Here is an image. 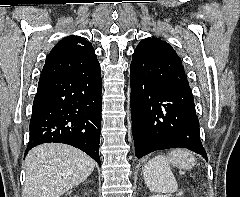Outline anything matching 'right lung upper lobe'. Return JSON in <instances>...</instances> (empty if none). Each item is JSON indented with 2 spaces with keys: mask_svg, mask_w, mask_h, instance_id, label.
<instances>
[{
  "mask_svg": "<svg viewBox=\"0 0 240 197\" xmlns=\"http://www.w3.org/2000/svg\"><path fill=\"white\" fill-rule=\"evenodd\" d=\"M92 44L78 36H68L59 41L46 58L41 78L83 74L99 68Z\"/></svg>",
  "mask_w": 240,
  "mask_h": 197,
  "instance_id": "1",
  "label": "right lung upper lobe"
}]
</instances>
